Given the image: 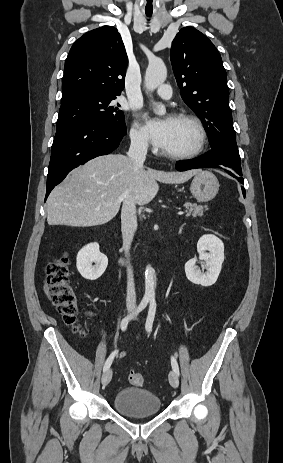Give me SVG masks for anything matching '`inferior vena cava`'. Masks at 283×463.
I'll list each match as a JSON object with an SVG mask.
<instances>
[{"instance_id": "1", "label": "inferior vena cava", "mask_w": 283, "mask_h": 463, "mask_svg": "<svg viewBox=\"0 0 283 463\" xmlns=\"http://www.w3.org/2000/svg\"><path fill=\"white\" fill-rule=\"evenodd\" d=\"M148 141L143 137H134L131 139V145L128 151V157L136 166L140 168L146 159ZM132 185L124 193L123 205L121 210V231L123 237V248L125 256L129 260V250L133 241L134 234L137 230L136 202L132 195ZM126 307L132 311L136 308V292L133 278V270L129 265L127 267V298Z\"/></svg>"}]
</instances>
